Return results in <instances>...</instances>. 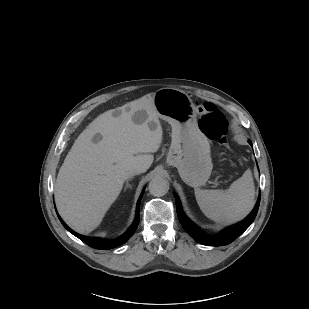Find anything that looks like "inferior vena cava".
<instances>
[{"label": "inferior vena cava", "mask_w": 309, "mask_h": 309, "mask_svg": "<svg viewBox=\"0 0 309 309\" xmlns=\"http://www.w3.org/2000/svg\"><path fill=\"white\" fill-rule=\"evenodd\" d=\"M143 172V168L142 167H139V166H136V167H133L131 169H129L126 173H125V178H130L131 176L133 175H136V174H140Z\"/></svg>", "instance_id": "602c4592"}]
</instances>
